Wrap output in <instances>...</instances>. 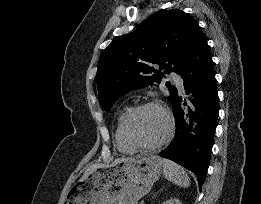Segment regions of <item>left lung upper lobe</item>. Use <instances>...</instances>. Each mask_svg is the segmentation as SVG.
I'll return each mask as SVG.
<instances>
[{"label": "left lung upper lobe", "instance_id": "5c2ea615", "mask_svg": "<svg viewBox=\"0 0 261 204\" xmlns=\"http://www.w3.org/2000/svg\"><path fill=\"white\" fill-rule=\"evenodd\" d=\"M199 30L198 23L185 12L164 10L151 15L134 32L114 40L98 62L101 107L108 112L123 94L160 83L164 73L179 74ZM157 65L163 72L156 69ZM168 87L172 103L177 89Z\"/></svg>", "mask_w": 261, "mask_h": 204}]
</instances>
